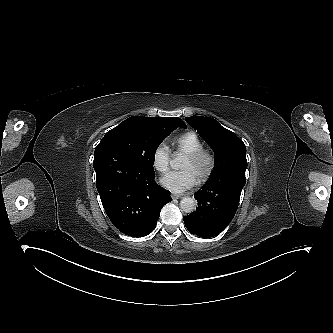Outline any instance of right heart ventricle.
Here are the masks:
<instances>
[{"mask_svg":"<svg viewBox=\"0 0 333 333\" xmlns=\"http://www.w3.org/2000/svg\"><path fill=\"white\" fill-rule=\"evenodd\" d=\"M201 145L195 133L189 132L182 135L176 142L175 156L183 159L187 155L198 151Z\"/></svg>","mask_w":333,"mask_h":333,"instance_id":"right-heart-ventricle-1","label":"right heart ventricle"}]
</instances>
